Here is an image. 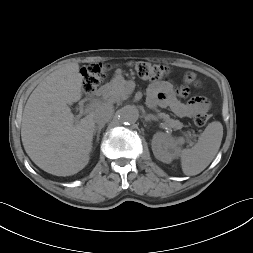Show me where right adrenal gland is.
Here are the masks:
<instances>
[{
    "label": "right adrenal gland",
    "instance_id": "obj_1",
    "mask_svg": "<svg viewBox=\"0 0 253 253\" xmlns=\"http://www.w3.org/2000/svg\"><path fill=\"white\" fill-rule=\"evenodd\" d=\"M103 127H104V125H99V126H96L95 129H94V135L97 136V138H96L97 142L99 141L100 132H101Z\"/></svg>",
    "mask_w": 253,
    "mask_h": 253
}]
</instances>
